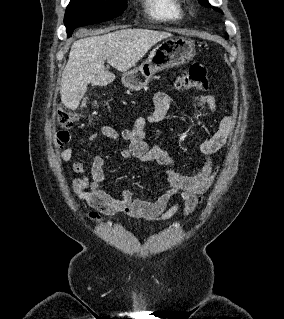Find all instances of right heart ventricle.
<instances>
[{"label": "right heart ventricle", "instance_id": "right-heart-ventricle-1", "mask_svg": "<svg viewBox=\"0 0 284 319\" xmlns=\"http://www.w3.org/2000/svg\"><path fill=\"white\" fill-rule=\"evenodd\" d=\"M147 16L158 22H175L186 15L183 0H141Z\"/></svg>", "mask_w": 284, "mask_h": 319}]
</instances>
